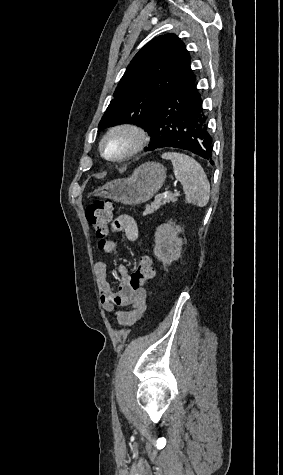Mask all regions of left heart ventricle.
<instances>
[{"instance_id": "obj_1", "label": "left heart ventricle", "mask_w": 283, "mask_h": 475, "mask_svg": "<svg viewBox=\"0 0 283 475\" xmlns=\"http://www.w3.org/2000/svg\"><path fill=\"white\" fill-rule=\"evenodd\" d=\"M130 138L127 135H117L105 143L104 150L109 156H116L127 150Z\"/></svg>"}]
</instances>
